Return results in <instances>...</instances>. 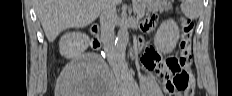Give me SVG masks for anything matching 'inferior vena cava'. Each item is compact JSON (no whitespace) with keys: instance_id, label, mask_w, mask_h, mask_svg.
<instances>
[{"instance_id":"602c4592","label":"inferior vena cava","mask_w":232,"mask_h":96,"mask_svg":"<svg viewBox=\"0 0 232 96\" xmlns=\"http://www.w3.org/2000/svg\"><path fill=\"white\" fill-rule=\"evenodd\" d=\"M116 16V4L113 0H102L100 12L101 40L107 57L115 58L114 46V18Z\"/></svg>"}]
</instances>
